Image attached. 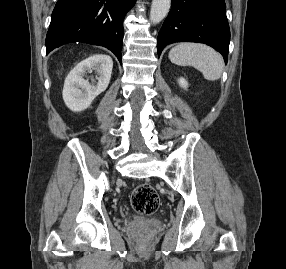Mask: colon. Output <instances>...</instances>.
Listing matches in <instances>:
<instances>
[{
	"label": "colon",
	"mask_w": 286,
	"mask_h": 269,
	"mask_svg": "<svg viewBox=\"0 0 286 269\" xmlns=\"http://www.w3.org/2000/svg\"><path fill=\"white\" fill-rule=\"evenodd\" d=\"M131 205L137 213L150 215L159 208L160 198L151 185L140 184L132 192ZM144 241V237L141 236L140 242Z\"/></svg>",
	"instance_id": "5ec220e1"
}]
</instances>
